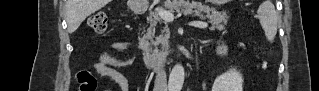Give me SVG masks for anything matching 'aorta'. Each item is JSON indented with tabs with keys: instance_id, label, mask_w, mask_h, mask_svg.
Here are the masks:
<instances>
[{
	"instance_id": "obj_1",
	"label": "aorta",
	"mask_w": 319,
	"mask_h": 91,
	"mask_svg": "<svg viewBox=\"0 0 319 91\" xmlns=\"http://www.w3.org/2000/svg\"><path fill=\"white\" fill-rule=\"evenodd\" d=\"M185 78L184 67L181 64H176L169 76V90L181 91Z\"/></svg>"
}]
</instances>
